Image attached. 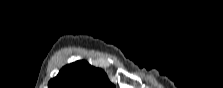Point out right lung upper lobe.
Here are the masks:
<instances>
[{
  "label": "right lung upper lobe",
  "mask_w": 223,
  "mask_h": 88,
  "mask_svg": "<svg viewBox=\"0 0 223 88\" xmlns=\"http://www.w3.org/2000/svg\"><path fill=\"white\" fill-rule=\"evenodd\" d=\"M49 88H111L113 85L100 69L86 61H77L63 67L59 74L51 79Z\"/></svg>",
  "instance_id": "obj_1"
}]
</instances>
